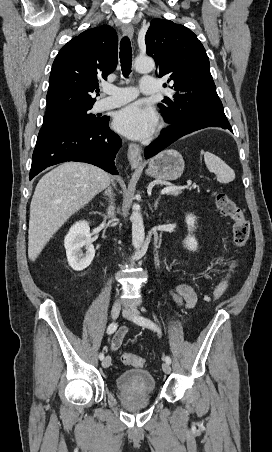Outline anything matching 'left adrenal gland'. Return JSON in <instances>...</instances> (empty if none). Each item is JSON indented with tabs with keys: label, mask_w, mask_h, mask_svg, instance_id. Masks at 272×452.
Here are the masks:
<instances>
[{
	"label": "left adrenal gland",
	"mask_w": 272,
	"mask_h": 452,
	"mask_svg": "<svg viewBox=\"0 0 272 452\" xmlns=\"http://www.w3.org/2000/svg\"><path fill=\"white\" fill-rule=\"evenodd\" d=\"M159 201H160V197H158V198L155 200V203H154V209H157V208H158Z\"/></svg>",
	"instance_id": "1"
}]
</instances>
